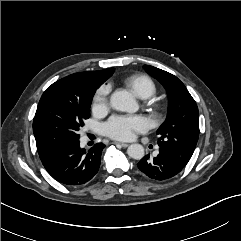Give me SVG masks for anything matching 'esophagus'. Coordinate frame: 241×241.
I'll list each match as a JSON object with an SVG mask.
<instances>
[{
  "mask_svg": "<svg viewBox=\"0 0 241 241\" xmlns=\"http://www.w3.org/2000/svg\"><path fill=\"white\" fill-rule=\"evenodd\" d=\"M115 144H118V145H120V146L123 147V148H126V147L129 146V144H127V143H121V142H115Z\"/></svg>",
  "mask_w": 241,
  "mask_h": 241,
  "instance_id": "1",
  "label": "esophagus"
}]
</instances>
